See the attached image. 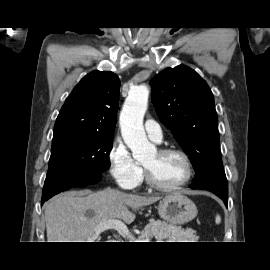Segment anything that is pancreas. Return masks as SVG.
<instances>
[{"label": "pancreas", "instance_id": "cf45deb5", "mask_svg": "<svg viewBox=\"0 0 270 270\" xmlns=\"http://www.w3.org/2000/svg\"><path fill=\"white\" fill-rule=\"evenodd\" d=\"M155 237L157 240L166 239L168 242H197L199 236L193 229H182L165 221L150 219L149 224L142 230L139 241Z\"/></svg>", "mask_w": 270, "mask_h": 270}]
</instances>
